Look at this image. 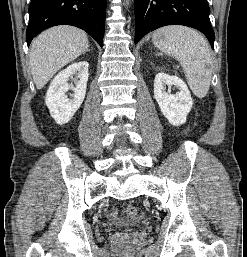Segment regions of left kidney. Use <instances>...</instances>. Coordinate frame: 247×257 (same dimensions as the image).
<instances>
[{"instance_id":"obj_1","label":"left kidney","mask_w":247,"mask_h":257,"mask_svg":"<svg viewBox=\"0 0 247 257\" xmlns=\"http://www.w3.org/2000/svg\"><path fill=\"white\" fill-rule=\"evenodd\" d=\"M171 86H175L179 91L176 94L167 92L166 88ZM154 98L170 124L179 126L186 122L193 101L187 85L180 78L158 73L154 80Z\"/></svg>"}]
</instances>
